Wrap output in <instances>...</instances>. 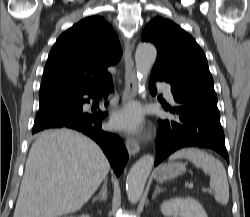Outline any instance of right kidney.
<instances>
[{"label": "right kidney", "mask_w": 250, "mask_h": 217, "mask_svg": "<svg viewBox=\"0 0 250 217\" xmlns=\"http://www.w3.org/2000/svg\"><path fill=\"white\" fill-rule=\"evenodd\" d=\"M80 217H90L89 215H82V216H80Z\"/></svg>", "instance_id": "right-kidney-1"}]
</instances>
